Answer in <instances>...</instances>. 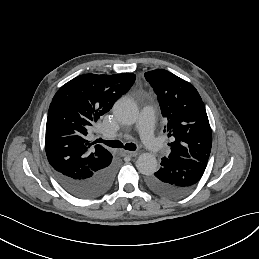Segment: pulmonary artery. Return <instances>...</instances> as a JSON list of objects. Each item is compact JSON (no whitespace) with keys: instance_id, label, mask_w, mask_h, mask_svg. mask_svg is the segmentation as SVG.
Returning <instances> with one entry per match:
<instances>
[{"instance_id":"1","label":"pulmonary artery","mask_w":259,"mask_h":259,"mask_svg":"<svg viewBox=\"0 0 259 259\" xmlns=\"http://www.w3.org/2000/svg\"><path fill=\"white\" fill-rule=\"evenodd\" d=\"M149 114H151L152 116L155 115V110L154 109H148V108H143L140 113L137 116V120L141 121L144 120ZM116 136V133L114 132H106L103 134V137L106 139H111L114 138Z\"/></svg>"}]
</instances>
